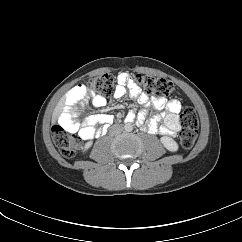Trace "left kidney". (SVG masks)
Segmentation results:
<instances>
[{
  "label": "left kidney",
  "instance_id": "obj_1",
  "mask_svg": "<svg viewBox=\"0 0 242 242\" xmlns=\"http://www.w3.org/2000/svg\"><path fill=\"white\" fill-rule=\"evenodd\" d=\"M161 142L164 147L171 152H176L178 150L177 142L171 137L164 136L161 138Z\"/></svg>",
  "mask_w": 242,
  "mask_h": 242
}]
</instances>
